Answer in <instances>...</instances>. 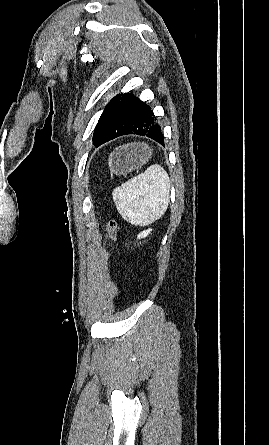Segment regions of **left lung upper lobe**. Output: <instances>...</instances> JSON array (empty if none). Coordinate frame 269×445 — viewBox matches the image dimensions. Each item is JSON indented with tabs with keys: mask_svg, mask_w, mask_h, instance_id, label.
Wrapping results in <instances>:
<instances>
[{
	"mask_svg": "<svg viewBox=\"0 0 269 445\" xmlns=\"http://www.w3.org/2000/svg\"><path fill=\"white\" fill-rule=\"evenodd\" d=\"M121 94L115 96L105 107L98 123L97 126L95 128L94 131V135H93V141L97 138V136L100 134V132L102 131V129L104 128V126L106 125L107 121L109 120L111 114L113 113V111L115 110L117 104L119 103L120 99H121Z\"/></svg>",
	"mask_w": 269,
	"mask_h": 445,
	"instance_id": "1",
	"label": "left lung upper lobe"
}]
</instances>
